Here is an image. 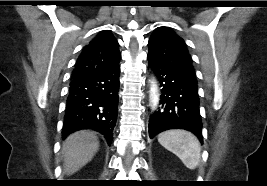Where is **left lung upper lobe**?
I'll list each match as a JSON object with an SVG mask.
<instances>
[{
    "mask_svg": "<svg viewBox=\"0 0 267 186\" xmlns=\"http://www.w3.org/2000/svg\"><path fill=\"white\" fill-rule=\"evenodd\" d=\"M148 57L196 81L191 55L182 38L167 27H159L149 42Z\"/></svg>",
    "mask_w": 267,
    "mask_h": 186,
    "instance_id": "5c2ea615",
    "label": "left lung upper lobe"
}]
</instances>
